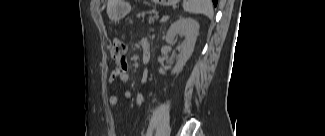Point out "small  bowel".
Listing matches in <instances>:
<instances>
[{
  "instance_id": "c3829d8e",
  "label": "small bowel",
  "mask_w": 325,
  "mask_h": 136,
  "mask_svg": "<svg viewBox=\"0 0 325 136\" xmlns=\"http://www.w3.org/2000/svg\"><path fill=\"white\" fill-rule=\"evenodd\" d=\"M145 42L148 43V41L146 40ZM128 68V64H127V60L123 59L122 61L117 62L116 68L111 70L108 74V82L112 83L115 80H119L122 83H126L129 81V74L127 71ZM146 78L147 75L145 74L143 77V82H146ZM123 99L125 100H130L132 98V93L129 90H126L123 92L122 94ZM109 104L111 106H115L118 104L119 102V95L117 93H112L109 96ZM145 103V99L144 96L142 94H138L135 97V104L138 107H142Z\"/></svg>"
}]
</instances>
